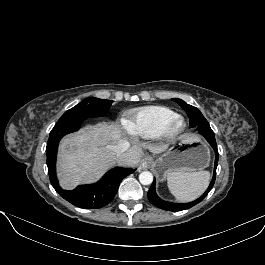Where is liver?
<instances>
[{
    "mask_svg": "<svg viewBox=\"0 0 265 265\" xmlns=\"http://www.w3.org/2000/svg\"><path fill=\"white\" fill-rule=\"evenodd\" d=\"M120 140L123 139L117 127L106 122L88 125L63 138L59 145L58 161L61 187L71 190L80 183H89L100 178L116 163L108 146ZM166 148V145H148V149L155 154ZM141 153L140 148L134 146L129 149L123 162L134 165L139 161Z\"/></svg>",
    "mask_w": 265,
    "mask_h": 265,
    "instance_id": "obj_1",
    "label": "liver"
}]
</instances>
